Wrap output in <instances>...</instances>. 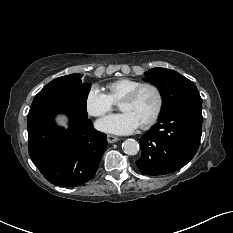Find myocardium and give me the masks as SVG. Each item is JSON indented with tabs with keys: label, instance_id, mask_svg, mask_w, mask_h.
Here are the masks:
<instances>
[{
	"label": "myocardium",
	"instance_id": "f54148a6",
	"mask_svg": "<svg viewBox=\"0 0 233 233\" xmlns=\"http://www.w3.org/2000/svg\"><path fill=\"white\" fill-rule=\"evenodd\" d=\"M146 87H150L152 89H154V91L156 92L157 95V107L153 113V115L143 124H141L142 128H148L150 126H152L157 119L159 118L162 108H163V95L162 92L160 90V88L153 84V83H141L140 85H138L137 87H135L133 90H131L128 94H126L122 100L120 101L122 102H130L133 101L137 95L139 94V92Z\"/></svg>",
	"mask_w": 233,
	"mask_h": 233
}]
</instances>
